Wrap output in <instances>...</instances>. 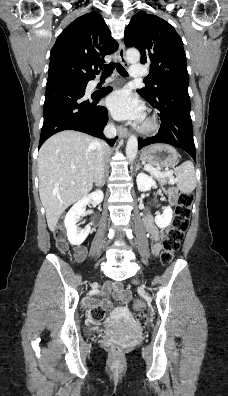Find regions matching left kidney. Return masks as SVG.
<instances>
[{"mask_svg": "<svg viewBox=\"0 0 228 396\" xmlns=\"http://www.w3.org/2000/svg\"><path fill=\"white\" fill-rule=\"evenodd\" d=\"M136 182L139 191H147L151 189V187L156 186V182L153 180V178L145 173H139L137 175ZM163 190L165 191V189ZM172 217V208L170 206H167L164 208L162 214L158 213L155 216V223L159 228H166L171 224Z\"/></svg>", "mask_w": 228, "mask_h": 396, "instance_id": "left-kidney-1", "label": "left kidney"}]
</instances>
